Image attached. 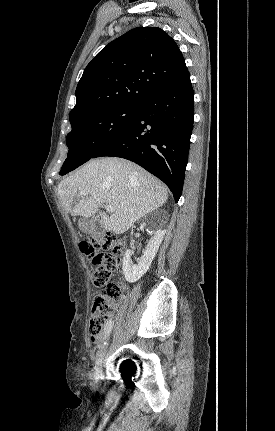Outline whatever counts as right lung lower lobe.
Instances as JSON below:
<instances>
[{"instance_id": "98d812e1", "label": "right lung lower lobe", "mask_w": 275, "mask_h": 431, "mask_svg": "<svg viewBox=\"0 0 275 431\" xmlns=\"http://www.w3.org/2000/svg\"><path fill=\"white\" fill-rule=\"evenodd\" d=\"M189 72L137 106L133 122L93 158L128 159L161 179L177 202L181 196L194 122Z\"/></svg>"}]
</instances>
